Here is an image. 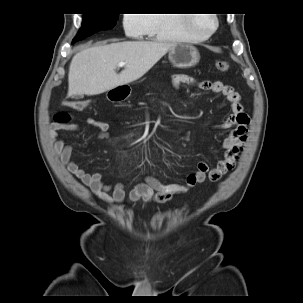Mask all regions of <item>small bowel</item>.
Masks as SVG:
<instances>
[{
  "label": "small bowel",
  "instance_id": "1",
  "mask_svg": "<svg viewBox=\"0 0 303 303\" xmlns=\"http://www.w3.org/2000/svg\"><path fill=\"white\" fill-rule=\"evenodd\" d=\"M171 83L175 89L182 85H196L201 90H209L215 94L222 95L229 103L231 115L224 121L215 125L216 129H231L229 135L222 142L224 157L215 166L210 167L207 162H200L198 169L189 175L184 184H165L155 177H148L145 182L137 184L128 194L130 202H154L163 204L170 201L174 196L188 192L197 183L204 182L208 178L212 182L218 181L222 176L232 170L240 156L247 140L250 118L243 112L240 102V93L232 86L221 81L205 82L197 81L187 74H173ZM87 124L99 132L101 138L110 135L108 123L88 118ZM61 130L76 131L75 124L53 125L49 129L51 146L61 164L77 179H79L91 192L101 201L108 204H120L126 199L124 185L121 183L107 184L97 173H89L82 169L71 159L72 147L58 139V132Z\"/></svg>",
  "mask_w": 303,
  "mask_h": 303
}]
</instances>
